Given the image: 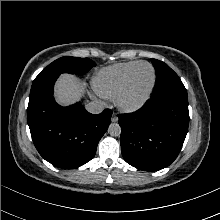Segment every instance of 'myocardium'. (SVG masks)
<instances>
[{
	"mask_svg": "<svg viewBox=\"0 0 220 220\" xmlns=\"http://www.w3.org/2000/svg\"><path fill=\"white\" fill-rule=\"evenodd\" d=\"M142 65H147L150 67V69L152 71L151 83H150L147 91L145 92V94L139 100H137L135 102H128L126 99V96L129 91V88H130L132 77H133L135 71ZM155 82H156V72H155L154 67L148 62H138L130 70V72L128 73V75L125 78V81H124L122 87L120 88L117 95L115 96L116 106L121 111L127 112V113H132V112H136V111L140 110L142 107L145 106V104L150 99L152 92H153V89H154V86H155Z\"/></svg>",
	"mask_w": 220,
	"mask_h": 220,
	"instance_id": "1",
	"label": "myocardium"
}]
</instances>
